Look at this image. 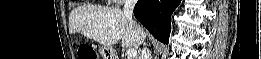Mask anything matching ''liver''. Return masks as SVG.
Instances as JSON below:
<instances>
[{
    "mask_svg": "<svg viewBox=\"0 0 261 59\" xmlns=\"http://www.w3.org/2000/svg\"><path fill=\"white\" fill-rule=\"evenodd\" d=\"M69 32L81 33L105 47L121 40L123 47L138 48L146 37L143 29L118 8H77L70 14Z\"/></svg>",
    "mask_w": 261,
    "mask_h": 59,
    "instance_id": "liver-1",
    "label": "liver"
}]
</instances>
